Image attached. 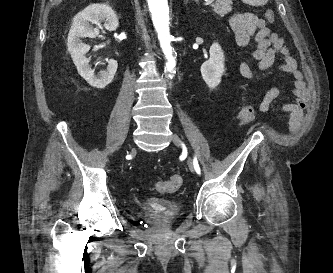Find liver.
<instances>
[{"instance_id":"obj_1","label":"liver","mask_w":333,"mask_h":273,"mask_svg":"<svg viewBox=\"0 0 333 273\" xmlns=\"http://www.w3.org/2000/svg\"><path fill=\"white\" fill-rule=\"evenodd\" d=\"M62 2V0H55V4L58 5Z\"/></svg>"}]
</instances>
